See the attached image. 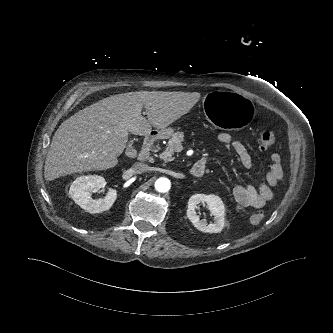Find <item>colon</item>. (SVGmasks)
<instances>
[{
  "label": "colon",
  "instance_id": "5ec220e1",
  "mask_svg": "<svg viewBox=\"0 0 333 333\" xmlns=\"http://www.w3.org/2000/svg\"><path fill=\"white\" fill-rule=\"evenodd\" d=\"M275 140H276V136H275L274 132L265 131L261 134V136L259 138V147L262 150H267L273 146V144L275 143ZM263 219H264V215L262 213H255V214L251 215L250 222L253 225H257V224H260L263 221Z\"/></svg>",
  "mask_w": 333,
  "mask_h": 333
}]
</instances>
